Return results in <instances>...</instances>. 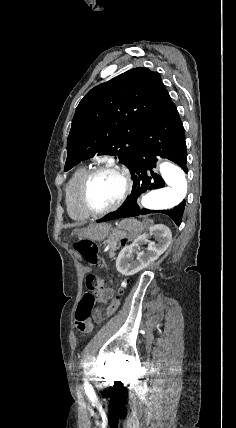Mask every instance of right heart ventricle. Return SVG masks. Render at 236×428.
<instances>
[{
	"label": "right heart ventricle",
	"instance_id": "right-heart-ventricle-1",
	"mask_svg": "<svg viewBox=\"0 0 236 428\" xmlns=\"http://www.w3.org/2000/svg\"><path fill=\"white\" fill-rule=\"evenodd\" d=\"M88 172L87 167L82 166L72 172L65 184V200L70 215L78 221H86L91 215L84 210L79 197L80 184Z\"/></svg>",
	"mask_w": 236,
	"mask_h": 428
}]
</instances>
